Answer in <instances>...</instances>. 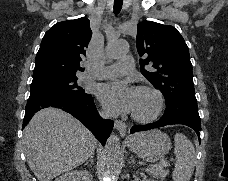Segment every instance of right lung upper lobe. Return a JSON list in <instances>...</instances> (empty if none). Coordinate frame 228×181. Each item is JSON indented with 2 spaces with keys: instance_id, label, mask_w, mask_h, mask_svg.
Returning <instances> with one entry per match:
<instances>
[{
  "instance_id": "right-lung-upper-lobe-1",
  "label": "right lung upper lobe",
  "mask_w": 228,
  "mask_h": 181,
  "mask_svg": "<svg viewBox=\"0 0 228 181\" xmlns=\"http://www.w3.org/2000/svg\"><path fill=\"white\" fill-rule=\"evenodd\" d=\"M91 36L89 20L85 17L56 23L42 39L35 58L33 79L76 75V72L83 71L80 62Z\"/></svg>"
}]
</instances>
